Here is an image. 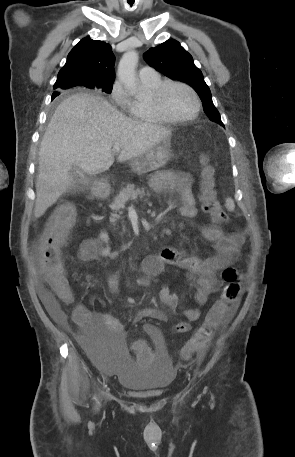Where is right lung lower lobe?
Wrapping results in <instances>:
<instances>
[{"label": "right lung lower lobe", "instance_id": "1", "mask_svg": "<svg viewBox=\"0 0 295 457\" xmlns=\"http://www.w3.org/2000/svg\"><path fill=\"white\" fill-rule=\"evenodd\" d=\"M57 94H59V93H57V92H54V93H53V95H52V100L57 96Z\"/></svg>", "mask_w": 295, "mask_h": 457}]
</instances>
